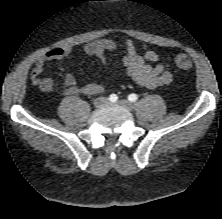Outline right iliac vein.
<instances>
[{"mask_svg": "<svg viewBox=\"0 0 222 219\" xmlns=\"http://www.w3.org/2000/svg\"><path fill=\"white\" fill-rule=\"evenodd\" d=\"M107 103V99H105V98H99V99H97L96 101H95V106L96 107H101V106H103L104 104H106Z\"/></svg>", "mask_w": 222, "mask_h": 219, "instance_id": "1", "label": "right iliac vein"}]
</instances>
